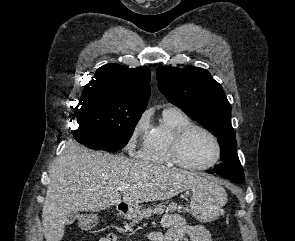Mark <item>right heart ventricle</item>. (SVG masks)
<instances>
[{
	"label": "right heart ventricle",
	"mask_w": 295,
	"mask_h": 241,
	"mask_svg": "<svg viewBox=\"0 0 295 241\" xmlns=\"http://www.w3.org/2000/svg\"><path fill=\"white\" fill-rule=\"evenodd\" d=\"M190 123H192L190 117L182 110L176 107L166 108L159 122L151 126L139 157L153 164H172L173 161L169 154L170 142L180 128Z\"/></svg>",
	"instance_id": "1"
}]
</instances>
